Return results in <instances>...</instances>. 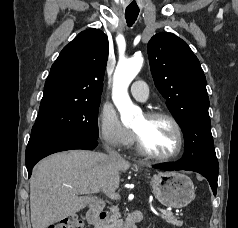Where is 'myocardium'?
<instances>
[{"label":"myocardium","mask_w":238,"mask_h":228,"mask_svg":"<svg viewBox=\"0 0 238 228\" xmlns=\"http://www.w3.org/2000/svg\"><path fill=\"white\" fill-rule=\"evenodd\" d=\"M145 117H147L148 119H165L169 121L175 130L176 137H177V145L175 150L169 155L158 156V155L152 154L145 148L140 136L133 130V136H134V141H135V146L137 151L142 156L151 160L159 161V162L171 161L177 158L182 152L183 146H184L183 131L178 121L171 114L167 112H163V111H148L145 113Z\"/></svg>","instance_id":"1"}]
</instances>
